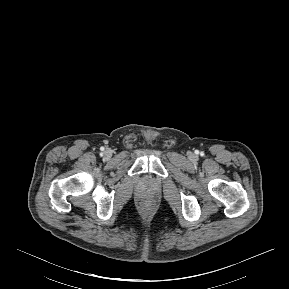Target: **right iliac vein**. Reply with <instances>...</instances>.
<instances>
[{
	"mask_svg": "<svg viewBox=\"0 0 289 289\" xmlns=\"http://www.w3.org/2000/svg\"><path fill=\"white\" fill-rule=\"evenodd\" d=\"M104 156L107 157V158H109V157L111 156V151L108 150V149L105 150V151H104Z\"/></svg>",
	"mask_w": 289,
	"mask_h": 289,
	"instance_id": "obj_1",
	"label": "right iliac vein"
}]
</instances>
